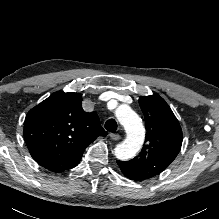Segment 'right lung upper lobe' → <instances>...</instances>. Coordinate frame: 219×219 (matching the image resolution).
I'll list each match as a JSON object with an SVG mask.
<instances>
[{
    "instance_id": "1",
    "label": "right lung upper lobe",
    "mask_w": 219,
    "mask_h": 219,
    "mask_svg": "<svg viewBox=\"0 0 219 219\" xmlns=\"http://www.w3.org/2000/svg\"><path fill=\"white\" fill-rule=\"evenodd\" d=\"M106 134L96 112H85L82 96L73 92L53 93L28 112L24 125L32 158L55 173L77 166L85 148Z\"/></svg>"
}]
</instances>
